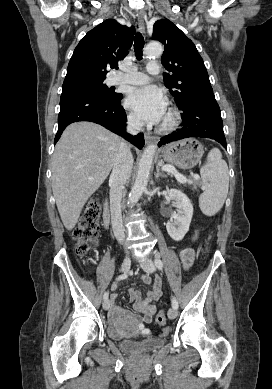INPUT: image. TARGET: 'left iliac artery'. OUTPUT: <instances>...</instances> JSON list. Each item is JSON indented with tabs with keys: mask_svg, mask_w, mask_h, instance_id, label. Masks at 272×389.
<instances>
[{
	"mask_svg": "<svg viewBox=\"0 0 272 389\" xmlns=\"http://www.w3.org/2000/svg\"><path fill=\"white\" fill-rule=\"evenodd\" d=\"M155 265L158 269L162 270L163 262L160 259L158 258L155 259ZM172 307L178 309V302L175 297H172Z\"/></svg>",
	"mask_w": 272,
	"mask_h": 389,
	"instance_id": "1",
	"label": "left iliac artery"
}]
</instances>
